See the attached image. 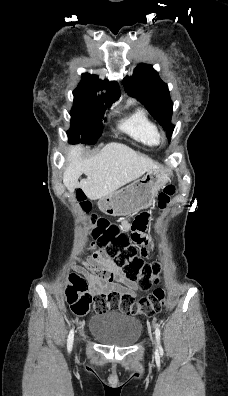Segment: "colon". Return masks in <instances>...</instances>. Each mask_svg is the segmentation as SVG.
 <instances>
[{"mask_svg": "<svg viewBox=\"0 0 228 396\" xmlns=\"http://www.w3.org/2000/svg\"><path fill=\"white\" fill-rule=\"evenodd\" d=\"M175 193L174 185L164 187L158 196L160 210L166 207ZM78 200L81 209L88 212L90 204L86 201L84 193H78ZM150 218L151 215L148 212L138 215L132 223L130 235L103 218L92 219V223L96 224L92 229V236L102 247L97 251L101 252L104 258L110 259L116 266L122 268L126 277L130 281L137 282L143 290L150 288L158 273L156 263L145 261L148 241L143 236V232L146 230ZM93 249H95L94 243ZM94 260L97 258L94 257ZM66 298L72 311L77 315H85L92 305L98 312L119 309L126 313H142L152 316L164 307L165 290L156 288L150 295L139 300H135L130 293L96 294L92 297L88 292L86 281L78 275H71L66 289Z\"/></svg>", "mask_w": 228, "mask_h": 396, "instance_id": "obj_1", "label": "colon"}]
</instances>
